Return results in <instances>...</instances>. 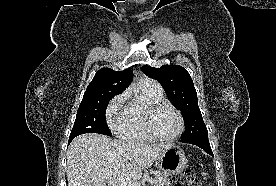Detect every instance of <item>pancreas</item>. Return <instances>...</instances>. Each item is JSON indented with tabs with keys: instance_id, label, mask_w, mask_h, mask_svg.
Instances as JSON below:
<instances>
[{
	"instance_id": "cf45deb5",
	"label": "pancreas",
	"mask_w": 276,
	"mask_h": 186,
	"mask_svg": "<svg viewBox=\"0 0 276 186\" xmlns=\"http://www.w3.org/2000/svg\"><path fill=\"white\" fill-rule=\"evenodd\" d=\"M153 186H170L169 179L166 174L159 173L153 181Z\"/></svg>"
}]
</instances>
